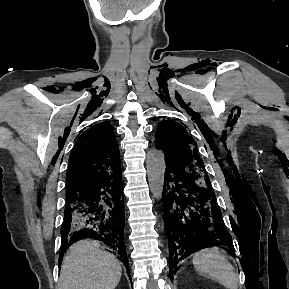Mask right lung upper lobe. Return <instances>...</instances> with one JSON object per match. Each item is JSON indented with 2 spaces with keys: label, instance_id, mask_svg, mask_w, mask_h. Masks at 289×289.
<instances>
[{
  "label": "right lung upper lobe",
  "instance_id": "cb5924a9",
  "mask_svg": "<svg viewBox=\"0 0 289 289\" xmlns=\"http://www.w3.org/2000/svg\"><path fill=\"white\" fill-rule=\"evenodd\" d=\"M120 173V152L113 128L108 122L98 123L83 132L70 154L66 195L84 191L102 178Z\"/></svg>",
  "mask_w": 289,
  "mask_h": 289
}]
</instances>
